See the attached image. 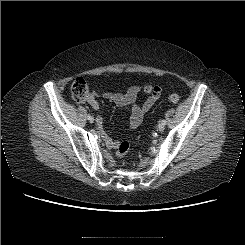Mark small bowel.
<instances>
[{"instance_id":"1","label":"small bowel","mask_w":245,"mask_h":245,"mask_svg":"<svg viewBox=\"0 0 245 245\" xmlns=\"http://www.w3.org/2000/svg\"><path fill=\"white\" fill-rule=\"evenodd\" d=\"M143 90L148 96L146 100L141 104H135L138 93ZM162 89L158 86H153L151 84H136L129 87L128 91L124 94L119 92H105L103 97L108 101L114 103L118 107L130 109L131 115L129 118V126L131 128H137L142 120L144 115L152 108L156 101L161 97ZM88 104L93 109H98L99 104L96 99L95 94H90L87 99ZM97 121H101V117L97 118ZM103 138L106 141L108 148H115L117 142L111 139L106 133H103Z\"/></svg>"}]
</instances>
